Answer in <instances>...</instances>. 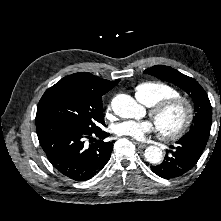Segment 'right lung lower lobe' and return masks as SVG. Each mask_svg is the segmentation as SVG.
Wrapping results in <instances>:
<instances>
[{
    "label": "right lung lower lobe",
    "mask_w": 221,
    "mask_h": 221,
    "mask_svg": "<svg viewBox=\"0 0 221 221\" xmlns=\"http://www.w3.org/2000/svg\"><path fill=\"white\" fill-rule=\"evenodd\" d=\"M36 131L50 163L72 180H89L110 159L113 142H104L109 133L103 130L87 132L62 119L37 113Z\"/></svg>",
    "instance_id": "right-lung-lower-lobe-1"
}]
</instances>
